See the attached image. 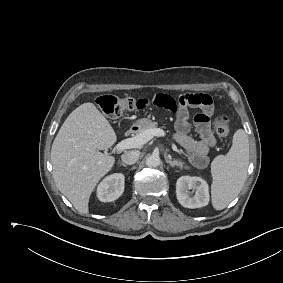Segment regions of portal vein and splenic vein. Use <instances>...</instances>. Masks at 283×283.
Returning a JSON list of instances; mask_svg holds the SVG:
<instances>
[{
    "mask_svg": "<svg viewBox=\"0 0 283 283\" xmlns=\"http://www.w3.org/2000/svg\"><path fill=\"white\" fill-rule=\"evenodd\" d=\"M165 135V131L160 128L148 129L134 137L122 140L115 146V151L122 152L125 149L138 148L150 141L154 136L164 137Z\"/></svg>",
    "mask_w": 283,
    "mask_h": 283,
    "instance_id": "1",
    "label": "portal vein and splenic vein"
}]
</instances>
